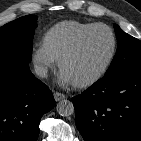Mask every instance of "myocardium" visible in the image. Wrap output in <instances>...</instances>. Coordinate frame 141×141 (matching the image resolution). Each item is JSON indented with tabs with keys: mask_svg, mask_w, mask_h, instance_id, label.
I'll use <instances>...</instances> for the list:
<instances>
[{
	"mask_svg": "<svg viewBox=\"0 0 141 141\" xmlns=\"http://www.w3.org/2000/svg\"><path fill=\"white\" fill-rule=\"evenodd\" d=\"M96 29H105L108 31V33L111 36V40H112V47H111V51L110 54L106 60V62L103 64V66L99 69V71L97 73H95L93 76H91L90 78L80 81V82H72L73 86L76 88H88L94 84H96L98 81H100L105 74L107 73V71L109 70V68L111 67L116 52H117V38L116 35L114 33V31L105 24L102 23H96L88 28H86L84 31H82L76 38L75 40L71 43V45L64 51V53L61 55V57L58 60V65L60 70L62 71L63 65L65 63V61L70 58L80 47L81 43L83 42V40L85 39V37L91 33L92 31L96 30Z\"/></svg>",
	"mask_w": 141,
	"mask_h": 141,
	"instance_id": "obj_1",
	"label": "myocardium"
}]
</instances>
